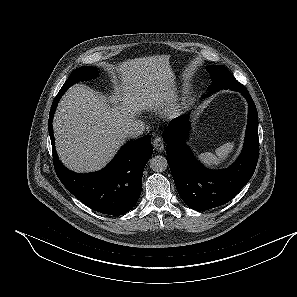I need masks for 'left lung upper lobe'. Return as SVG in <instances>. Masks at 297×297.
Instances as JSON below:
<instances>
[{
  "label": "left lung upper lobe",
  "instance_id": "5c2ea615",
  "mask_svg": "<svg viewBox=\"0 0 297 297\" xmlns=\"http://www.w3.org/2000/svg\"><path fill=\"white\" fill-rule=\"evenodd\" d=\"M207 72L210 74L212 85L207 90L209 93L218 91L219 89H231L234 91L245 90L244 85L239 83L232 73L221 65L207 66Z\"/></svg>",
  "mask_w": 297,
  "mask_h": 297
}]
</instances>
